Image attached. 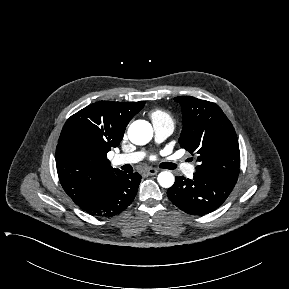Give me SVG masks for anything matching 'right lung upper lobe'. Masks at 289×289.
<instances>
[{"label": "right lung upper lobe", "mask_w": 289, "mask_h": 289, "mask_svg": "<svg viewBox=\"0 0 289 289\" xmlns=\"http://www.w3.org/2000/svg\"><path fill=\"white\" fill-rule=\"evenodd\" d=\"M144 105L98 101L66 121L56 148V167L63 189L75 203L122 172L111 167L107 152L119 146L127 124Z\"/></svg>", "instance_id": "obj_1"}]
</instances>
